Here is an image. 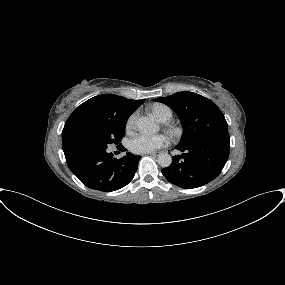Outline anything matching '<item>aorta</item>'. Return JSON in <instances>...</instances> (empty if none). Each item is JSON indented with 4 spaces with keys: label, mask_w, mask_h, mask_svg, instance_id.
<instances>
[{
    "label": "aorta",
    "mask_w": 285,
    "mask_h": 285,
    "mask_svg": "<svg viewBox=\"0 0 285 285\" xmlns=\"http://www.w3.org/2000/svg\"><path fill=\"white\" fill-rule=\"evenodd\" d=\"M136 125L139 130L145 133H156L159 131V126L148 117H140L136 121ZM157 162L163 168L169 167L172 163V157L168 153H161L158 155Z\"/></svg>",
    "instance_id": "obj_1"
}]
</instances>
